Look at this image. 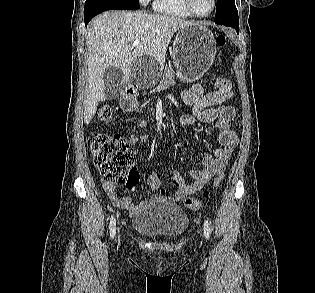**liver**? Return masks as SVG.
I'll list each match as a JSON object with an SVG mask.
<instances>
[{"label": "liver", "instance_id": "6515ba94", "mask_svg": "<svg viewBox=\"0 0 315 293\" xmlns=\"http://www.w3.org/2000/svg\"><path fill=\"white\" fill-rule=\"evenodd\" d=\"M193 24L200 23L142 11H108L94 18L85 38L88 88L84 101V123H90L99 102L105 100L103 76L108 67L120 68L127 82L131 66L139 57L147 55L163 65L174 33ZM134 41H139L136 47H132Z\"/></svg>", "mask_w": 315, "mask_h": 293}]
</instances>
